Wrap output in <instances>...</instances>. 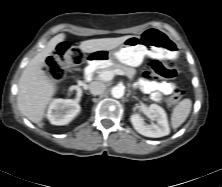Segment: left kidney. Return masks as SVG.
Instances as JSON below:
<instances>
[{
    "mask_svg": "<svg viewBox=\"0 0 222 187\" xmlns=\"http://www.w3.org/2000/svg\"><path fill=\"white\" fill-rule=\"evenodd\" d=\"M148 116L157 124L147 125L139 114L131 115V123L134 129L143 136L159 138L170 133V128L165 110L157 104H151L147 110Z\"/></svg>",
    "mask_w": 222,
    "mask_h": 187,
    "instance_id": "left-kidney-1",
    "label": "left kidney"
}]
</instances>
